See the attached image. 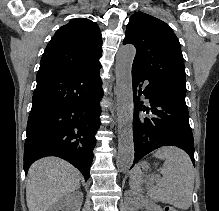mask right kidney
<instances>
[{"label":"right kidney","instance_id":"right-kidney-1","mask_svg":"<svg viewBox=\"0 0 219 211\" xmlns=\"http://www.w3.org/2000/svg\"><path fill=\"white\" fill-rule=\"evenodd\" d=\"M74 193H77V191H74ZM78 195H80L79 199H77V197H72V195H68V199H65V197H60L56 203L51 205L49 211H65V205H67V203H74V205H76L75 211H80L83 193L79 191Z\"/></svg>","mask_w":219,"mask_h":211}]
</instances>
